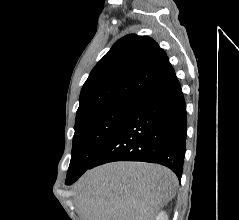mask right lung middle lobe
<instances>
[{
	"label": "right lung middle lobe",
	"instance_id": "dd1d6c3e",
	"mask_svg": "<svg viewBox=\"0 0 239 220\" xmlns=\"http://www.w3.org/2000/svg\"><path fill=\"white\" fill-rule=\"evenodd\" d=\"M130 105L112 106L76 120L66 184L78 179L90 168L124 120Z\"/></svg>",
	"mask_w": 239,
	"mask_h": 220
}]
</instances>
